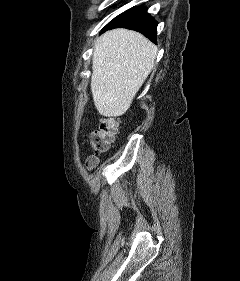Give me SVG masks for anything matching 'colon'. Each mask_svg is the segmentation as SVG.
Here are the masks:
<instances>
[{"label": "colon", "mask_w": 240, "mask_h": 281, "mask_svg": "<svg viewBox=\"0 0 240 281\" xmlns=\"http://www.w3.org/2000/svg\"><path fill=\"white\" fill-rule=\"evenodd\" d=\"M118 131V121L114 118L100 120L99 128L87 136L92 149L96 154L105 152L114 142ZM97 163L96 156H91L87 160V167L93 168Z\"/></svg>", "instance_id": "obj_1"}]
</instances>
